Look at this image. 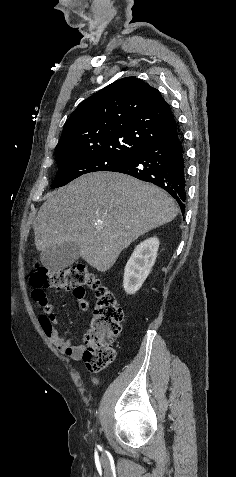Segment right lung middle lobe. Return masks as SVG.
Instances as JSON below:
<instances>
[{
	"label": "right lung middle lobe",
	"instance_id": "1",
	"mask_svg": "<svg viewBox=\"0 0 236 477\" xmlns=\"http://www.w3.org/2000/svg\"><path fill=\"white\" fill-rule=\"evenodd\" d=\"M129 159V157L105 154H88L67 159H56L59 170L51 187L64 186L83 174L96 171H113Z\"/></svg>",
	"mask_w": 236,
	"mask_h": 477
}]
</instances>
